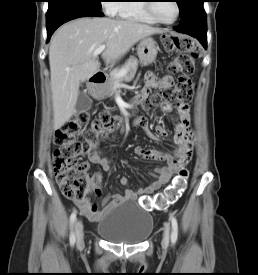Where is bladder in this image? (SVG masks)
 Returning <instances> with one entry per match:
<instances>
[{
    "label": "bladder",
    "mask_w": 258,
    "mask_h": 275,
    "mask_svg": "<svg viewBox=\"0 0 258 275\" xmlns=\"http://www.w3.org/2000/svg\"><path fill=\"white\" fill-rule=\"evenodd\" d=\"M153 224L149 212L127 202L104 214L96 225V232L109 242L138 244L150 236Z\"/></svg>",
    "instance_id": "obj_1"
}]
</instances>
